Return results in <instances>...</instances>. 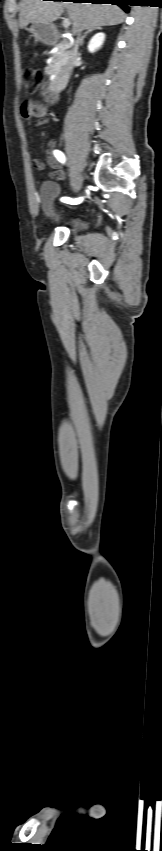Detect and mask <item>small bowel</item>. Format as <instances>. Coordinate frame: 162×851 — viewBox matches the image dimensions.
Returning <instances> with one entry per match:
<instances>
[{
    "mask_svg": "<svg viewBox=\"0 0 162 851\" xmlns=\"http://www.w3.org/2000/svg\"><path fill=\"white\" fill-rule=\"evenodd\" d=\"M41 94L45 97L44 102L30 101L22 104L21 106L22 116L27 120L37 119L39 125L47 123L50 107L58 101V98L60 99L64 95L63 92L60 90L57 91L55 95H52V89L49 86L42 87ZM53 144L54 142L50 143V145ZM47 165L55 170L53 173L54 176H62V172L58 166L57 158L51 152L47 154L46 161L39 158L33 160V166L38 170H44Z\"/></svg>",
    "mask_w": 162,
    "mask_h": 851,
    "instance_id": "obj_1",
    "label": "small bowel"
}]
</instances>
